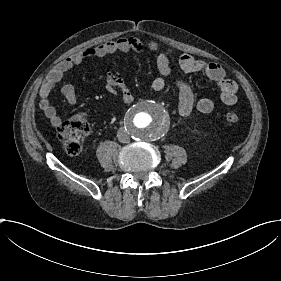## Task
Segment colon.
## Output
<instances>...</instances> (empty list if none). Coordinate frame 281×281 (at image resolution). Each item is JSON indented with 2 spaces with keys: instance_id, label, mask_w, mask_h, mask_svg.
Segmentation results:
<instances>
[{
  "instance_id": "colon-1",
  "label": "colon",
  "mask_w": 281,
  "mask_h": 281,
  "mask_svg": "<svg viewBox=\"0 0 281 281\" xmlns=\"http://www.w3.org/2000/svg\"><path fill=\"white\" fill-rule=\"evenodd\" d=\"M224 121L230 125H238L241 121V114L237 110H228L224 114ZM88 132L89 127L85 120L73 119L61 126L59 136L68 152L76 154L81 151L82 141Z\"/></svg>"
}]
</instances>
